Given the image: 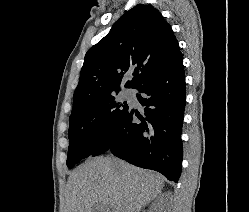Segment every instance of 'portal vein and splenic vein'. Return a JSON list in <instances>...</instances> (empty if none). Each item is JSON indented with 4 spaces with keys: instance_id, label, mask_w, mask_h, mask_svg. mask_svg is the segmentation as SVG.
Masks as SVG:
<instances>
[{
    "instance_id": "18ae733b",
    "label": "portal vein and splenic vein",
    "mask_w": 249,
    "mask_h": 212,
    "mask_svg": "<svg viewBox=\"0 0 249 212\" xmlns=\"http://www.w3.org/2000/svg\"><path fill=\"white\" fill-rule=\"evenodd\" d=\"M102 212H112L111 208H109V206H103V208H101Z\"/></svg>"
}]
</instances>
